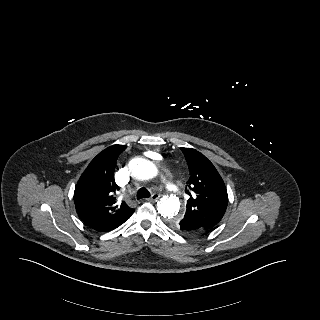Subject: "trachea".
Here are the masks:
<instances>
[{"instance_id": "1", "label": "trachea", "mask_w": 320, "mask_h": 320, "mask_svg": "<svg viewBox=\"0 0 320 320\" xmlns=\"http://www.w3.org/2000/svg\"><path fill=\"white\" fill-rule=\"evenodd\" d=\"M150 192L146 188H140L137 192V199L149 198Z\"/></svg>"}]
</instances>
